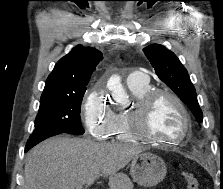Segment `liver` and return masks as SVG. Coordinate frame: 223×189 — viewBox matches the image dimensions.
I'll list each match as a JSON object with an SVG mask.
<instances>
[{"label": "liver", "mask_w": 223, "mask_h": 189, "mask_svg": "<svg viewBox=\"0 0 223 189\" xmlns=\"http://www.w3.org/2000/svg\"><path fill=\"white\" fill-rule=\"evenodd\" d=\"M142 151L136 144L53 137L28 152L23 189H83L101 173L109 176L110 189H123L126 176L118 172Z\"/></svg>", "instance_id": "1"}]
</instances>
